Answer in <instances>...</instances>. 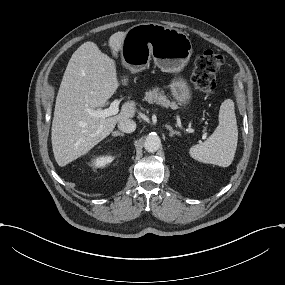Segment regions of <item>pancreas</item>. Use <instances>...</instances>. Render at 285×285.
<instances>
[{
	"label": "pancreas",
	"instance_id": "obj_1",
	"mask_svg": "<svg viewBox=\"0 0 285 285\" xmlns=\"http://www.w3.org/2000/svg\"><path fill=\"white\" fill-rule=\"evenodd\" d=\"M144 100L150 104H157L163 107H170L171 109H177L178 105L174 101H170L164 94L163 90L158 87H154L152 90L145 92Z\"/></svg>",
	"mask_w": 285,
	"mask_h": 285
}]
</instances>
